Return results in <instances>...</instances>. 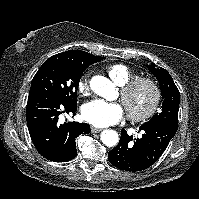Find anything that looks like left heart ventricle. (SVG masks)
I'll use <instances>...</instances> for the list:
<instances>
[{
  "instance_id": "left-heart-ventricle-1",
  "label": "left heart ventricle",
  "mask_w": 199,
  "mask_h": 199,
  "mask_svg": "<svg viewBox=\"0 0 199 199\" xmlns=\"http://www.w3.org/2000/svg\"><path fill=\"white\" fill-rule=\"evenodd\" d=\"M150 100V91L146 87H141L134 91L128 99V108L134 112L143 111Z\"/></svg>"
}]
</instances>
